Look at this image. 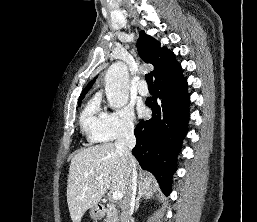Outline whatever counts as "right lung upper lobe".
Returning a JSON list of instances; mask_svg holds the SVG:
<instances>
[{"label": "right lung upper lobe", "mask_w": 257, "mask_h": 222, "mask_svg": "<svg viewBox=\"0 0 257 222\" xmlns=\"http://www.w3.org/2000/svg\"><path fill=\"white\" fill-rule=\"evenodd\" d=\"M137 49L143 61L154 66V70L151 73L155 77V80L182 71L180 64L175 60L174 53L165 47L161 48L160 43L151 36L146 35L144 31L140 32V37L137 41ZM94 81L95 80H92L83 90L79 102L84 98Z\"/></svg>", "instance_id": "obj_1"}]
</instances>
